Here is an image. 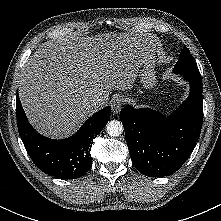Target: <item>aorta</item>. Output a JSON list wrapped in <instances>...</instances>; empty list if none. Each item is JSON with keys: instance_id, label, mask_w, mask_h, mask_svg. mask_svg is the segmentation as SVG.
<instances>
[{"instance_id": "762f6f07", "label": "aorta", "mask_w": 221, "mask_h": 221, "mask_svg": "<svg viewBox=\"0 0 221 221\" xmlns=\"http://www.w3.org/2000/svg\"><path fill=\"white\" fill-rule=\"evenodd\" d=\"M106 131L110 136L118 137L123 132V125L118 120H111L107 123Z\"/></svg>"}]
</instances>
